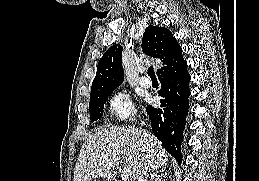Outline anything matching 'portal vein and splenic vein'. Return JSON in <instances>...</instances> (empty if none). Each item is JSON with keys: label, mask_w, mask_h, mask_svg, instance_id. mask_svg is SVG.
<instances>
[{"label": "portal vein and splenic vein", "mask_w": 259, "mask_h": 181, "mask_svg": "<svg viewBox=\"0 0 259 181\" xmlns=\"http://www.w3.org/2000/svg\"><path fill=\"white\" fill-rule=\"evenodd\" d=\"M122 159H125V157L123 156ZM130 173H131V170H130V169L124 168V169L121 171V179H122L123 181L129 180Z\"/></svg>", "instance_id": "portal-vein-and-splenic-vein-1"}]
</instances>
